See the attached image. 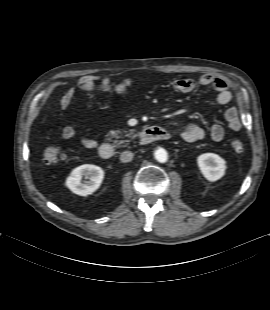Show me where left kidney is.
Wrapping results in <instances>:
<instances>
[{
  "label": "left kidney",
  "mask_w": 270,
  "mask_h": 310,
  "mask_svg": "<svg viewBox=\"0 0 270 310\" xmlns=\"http://www.w3.org/2000/svg\"><path fill=\"white\" fill-rule=\"evenodd\" d=\"M197 164L202 175L211 182L222 178L227 168L226 161L217 154L204 153L197 157Z\"/></svg>",
  "instance_id": "1"
}]
</instances>
